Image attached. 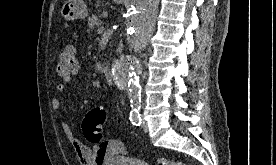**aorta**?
I'll return each mask as SVG.
<instances>
[{
  "mask_svg": "<svg viewBox=\"0 0 276 165\" xmlns=\"http://www.w3.org/2000/svg\"><path fill=\"white\" fill-rule=\"evenodd\" d=\"M132 23L131 43L136 51L148 44L156 25L159 0H131ZM141 65L134 57H124L112 65L111 74L115 83L129 91L132 102L141 97L139 73Z\"/></svg>",
  "mask_w": 276,
  "mask_h": 165,
  "instance_id": "1",
  "label": "aorta"
}]
</instances>
